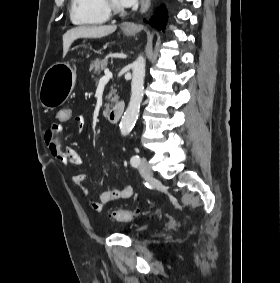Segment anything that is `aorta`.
I'll list each match as a JSON object with an SVG mask.
<instances>
[{
    "instance_id": "obj_1",
    "label": "aorta",
    "mask_w": 280,
    "mask_h": 283,
    "mask_svg": "<svg viewBox=\"0 0 280 283\" xmlns=\"http://www.w3.org/2000/svg\"><path fill=\"white\" fill-rule=\"evenodd\" d=\"M144 78L145 59L139 56L133 63L132 68L130 102L120 122V131L124 136L129 134L138 118L140 104L143 99Z\"/></svg>"
}]
</instances>
